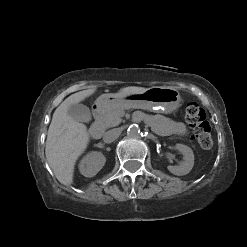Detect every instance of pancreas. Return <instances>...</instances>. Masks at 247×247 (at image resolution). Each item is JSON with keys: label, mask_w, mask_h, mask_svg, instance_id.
I'll use <instances>...</instances> for the list:
<instances>
[{"label": "pancreas", "mask_w": 247, "mask_h": 247, "mask_svg": "<svg viewBox=\"0 0 247 247\" xmlns=\"http://www.w3.org/2000/svg\"><path fill=\"white\" fill-rule=\"evenodd\" d=\"M125 107H118L105 113L98 121L102 128L107 129L119 125L122 121L121 117L124 116Z\"/></svg>", "instance_id": "obj_1"}]
</instances>
